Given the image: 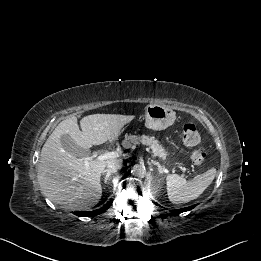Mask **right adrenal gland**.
<instances>
[{
    "label": "right adrenal gland",
    "mask_w": 261,
    "mask_h": 261,
    "mask_svg": "<svg viewBox=\"0 0 261 261\" xmlns=\"http://www.w3.org/2000/svg\"><path fill=\"white\" fill-rule=\"evenodd\" d=\"M102 174L104 175V184H107L108 180H110L111 173L108 172V170H104Z\"/></svg>",
    "instance_id": "2a0ac1e0"
}]
</instances>
